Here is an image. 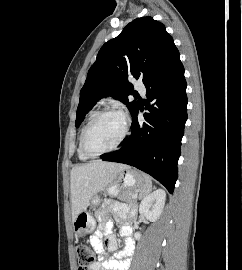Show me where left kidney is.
I'll list each match as a JSON object with an SVG mask.
<instances>
[{
	"mask_svg": "<svg viewBox=\"0 0 242 270\" xmlns=\"http://www.w3.org/2000/svg\"><path fill=\"white\" fill-rule=\"evenodd\" d=\"M166 193L163 189H157L147 195L140 203L139 213L150 221H156L164 208ZM136 240L141 238L140 233H135Z\"/></svg>",
	"mask_w": 242,
	"mask_h": 270,
	"instance_id": "left-kidney-1",
	"label": "left kidney"
}]
</instances>
